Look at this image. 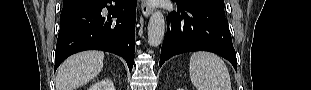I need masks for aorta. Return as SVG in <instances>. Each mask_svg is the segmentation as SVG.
Here are the masks:
<instances>
[{
	"label": "aorta",
	"instance_id": "1",
	"mask_svg": "<svg viewBox=\"0 0 311 90\" xmlns=\"http://www.w3.org/2000/svg\"><path fill=\"white\" fill-rule=\"evenodd\" d=\"M165 34V19L161 11L153 12L148 23V43L153 47H158Z\"/></svg>",
	"mask_w": 311,
	"mask_h": 90
}]
</instances>
